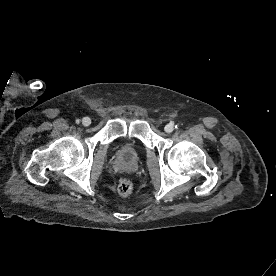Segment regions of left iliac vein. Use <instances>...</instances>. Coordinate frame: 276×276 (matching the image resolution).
Segmentation results:
<instances>
[{
	"mask_svg": "<svg viewBox=\"0 0 276 276\" xmlns=\"http://www.w3.org/2000/svg\"><path fill=\"white\" fill-rule=\"evenodd\" d=\"M164 129L167 133H171L174 130V125L173 124H167Z\"/></svg>",
	"mask_w": 276,
	"mask_h": 276,
	"instance_id": "4c4485c4",
	"label": "left iliac vein"
}]
</instances>
